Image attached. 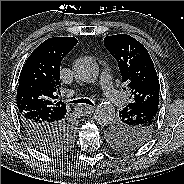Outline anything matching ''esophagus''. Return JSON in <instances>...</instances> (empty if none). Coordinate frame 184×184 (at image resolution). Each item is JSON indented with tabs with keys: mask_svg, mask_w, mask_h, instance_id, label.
Here are the masks:
<instances>
[{
	"mask_svg": "<svg viewBox=\"0 0 184 184\" xmlns=\"http://www.w3.org/2000/svg\"><path fill=\"white\" fill-rule=\"evenodd\" d=\"M94 107L93 106H89V105H85V106H80L78 108V111L82 114H91L94 112Z\"/></svg>",
	"mask_w": 184,
	"mask_h": 184,
	"instance_id": "1",
	"label": "esophagus"
}]
</instances>
